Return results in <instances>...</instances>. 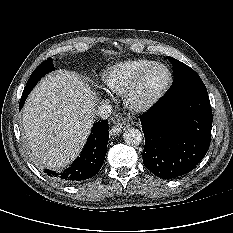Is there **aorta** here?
Masks as SVG:
<instances>
[{
	"mask_svg": "<svg viewBox=\"0 0 233 233\" xmlns=\"http://www.w3.org/2000/svg\"><path fill=\"white\" fill-rule=\"evenodd\" d=\"M124 142L130 146H137L142 142V133L135 128L126 129L123 133Z\"/></svg>",
	"mask_w": 233,
	"mask_h": 233,
	"instance_id": "obj_1",
	"label": "aorta"
}]
</instances>
